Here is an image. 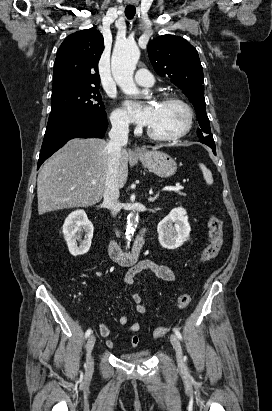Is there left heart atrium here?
Masks as SVG:
<instances>
[{
	"mask_svg": "<svg viewBox=\"0 0 272 411\" xmlns=\"http://www.w3.org/2000/svg\"><path fill=\"white\" fill-rule=\"evenodd\" d=\"M125 106L131 119L140 125H149L154 115V104L142 105L138 102L127 101Z\"/></svg>",
	"mask_w": 272,
	"mask_h": 411,
	"instance_id": "obj_1",
	"label": "left heart atrium"
}]
</instances>
